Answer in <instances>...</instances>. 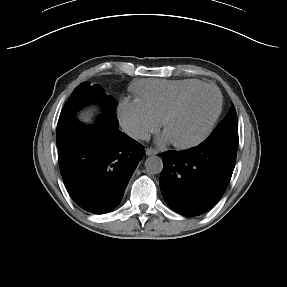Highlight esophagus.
I'll return each mask as SVG.
<instances>
[{
  "label": "esophagus",
  "mask_w": 287,
  "mask_h": 287,
  "mask_svg": "<svg viewBox=\"0 0 287 287\" xmlns=\"http://www.w3.org/2000/svg\"><path fill=\"white\" fill-rule=\"evenodd\" d=\"M158 153H159V151L157 149H154V148H147L146 149V155H148V156L156 155Z\"/></svg>",
  "instance_id": "obj_1"
}]
</instances>
